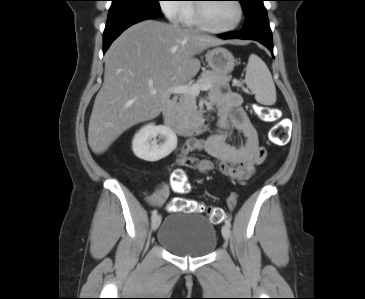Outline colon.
Masks as SVG:
<instances>
[{
  "mask_svg": "<svg viewBox=\"0 0 365 299\" xmlns=\"http://www.w3.org/2000/svg\"><path fill=\"white\" fill-rule=\"evenodd\" d=\"M233 1V0H232ZM259 116L263 121L273 123L269 131V138L275 144H285L288 141L289 132L283 125L280 112L276 108L261 106ZM173 189L180 194L187 193L190 189L187 178L183 173H176L172 178ZM236 204V196L231 195L229 206L234 207ZM169 211H181L187 213H199L206 210L209 218L215 224L222 222L224 219V210L220 207L209 206L205 207L202 203L195 200L184 198H175L169 205Z\"/></svg>",
  "mask_w": 365,
  "mask_h": 299,
  "instance_id": "5ec220e1",
  "label": "colon"
}]
</instances>
